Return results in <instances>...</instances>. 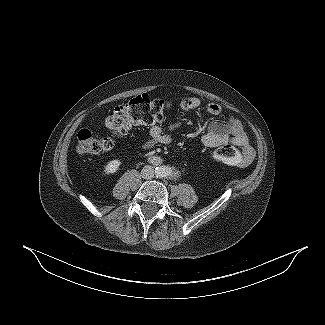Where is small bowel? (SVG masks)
Here are the masks:
<instances>
[{"instance_id":"small-bowel-1","label":"small bowel","mask_w":325,"mask_h":325,"mask_svg":"<svg viewBox=\"0 0 325 325\" xmlns=\"http://www.w3.org/2000/svg\"><path fill=\"white\" fill-rule=\"evenodd\" d=\"M181 107L183 110L203 108L207 113L214 116L222 112V107L219 104H204L196 97L183 100ZM182 126V121L170 123L166 130L157 125L152 126L149 130L150 138L143 141L141 147L143 149H150L158 144H171L173 142L171 133L177 131ZM201 142L210 148L219 147L228 143L240 147L243 151V165L249 164L255 155L241 122L235 117H229L226 120L211 121L207 126L206 132L201 136Z\"/></svg>"}]
</instances>
